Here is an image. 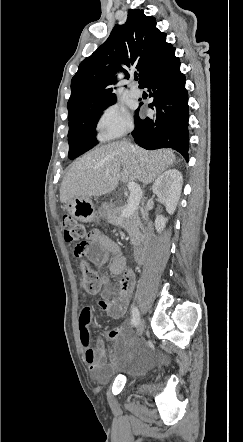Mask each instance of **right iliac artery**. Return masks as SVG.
Listing matches in <instances>:
<instances>
[{
  "mask_svg": "<svg viewBox=\"0 0 243 442\" xmlns=\"http://www.w3.org/2000/svg\"><path fill=\"white\" fill-rule=\"evenodd\" d=\"M131 314H132L131 324L135 326L139 321V312L135 306L131 307Z\"/></svg>",
  "mask_w": 243,
  "mask_h": 442,
  "instance_id": "82829eb1",
  "label": "right iliac artery"
}]
</instances>
